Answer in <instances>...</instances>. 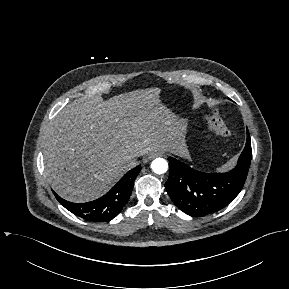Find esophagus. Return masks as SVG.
I'll list each match as a JSON object with an SVG mask.
<instances>
[{"label": "esophagus", "instance_id": "obj_1", "mask_svg": "<svg viewBox=\"0 0 289 289\" xmlns=\"http://www.w3.org/2000/svg\"><path fill=\"white\" fill-rule=\"evenodd\" d=\"M158 156H161V154L160 153H151L149 156V159H153V158L158 157Z\"/></svg>", "mask_w": 289, "mask_h": 289}]
</instances>
